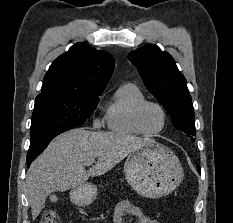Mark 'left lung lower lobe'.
<instances>
[{
  "label": "left lung lower lobe",
  "mask_w": 233,
  "mask_h": 223,
  "mask_svg": "<svg viewBox=\"0 0 233 223\" xmlns=\"http://www.w3.org/2000/svg\"><path fill=\"white\" fill-rule=\"evenodd\" d=\"M197 169H198V172L201 174V169L199 165H197Z\"/></svg>",
  "instance_id": "1"
}]
</instances>
